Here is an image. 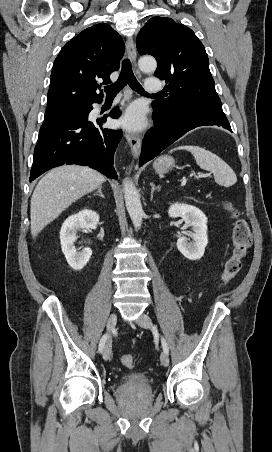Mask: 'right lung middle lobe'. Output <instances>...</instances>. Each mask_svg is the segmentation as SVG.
Returning <instances> with one entry per match:
<instances>
[{"instance_id":"dd1d6c3e","label":"right lung middle lobe","mask_w":272,"mask_h":452,"mask_svg":"<svg viewBox=\"0 0 272 452\" xmlns=\"http://www.w3.org/2000/svg\"><path fill=\"white\" fill-rule=\"evenodd\" d=\"M79 109H77V110H74V111H71V112H68V113H75L76 111H78Z\"/></svg>"}]
</instances>
